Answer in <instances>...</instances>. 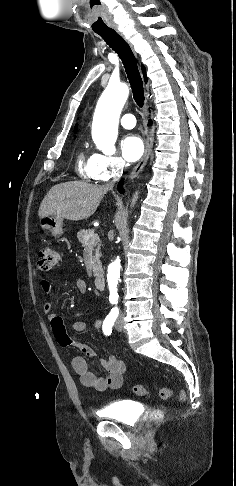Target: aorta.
<instances>
[{"instance_id":"762f6f07","label":"aorta","mask_w":236,"mask_h":486,"mask_svg":"<svg viewBox=\"0 0 236 486\" xmlns=\"http://www.w3.org/2000/svg\"><path fill=\"white\" fill-rule=\"evenodd\" d=\"M129 89L124 83H109L96 106L92 123V138L104 154L115 153L118 134V121L121 110L128 98ZM119 257L108 266L107 282L110 295H117L120 277Z\"/></svg>"}]
</instances>
